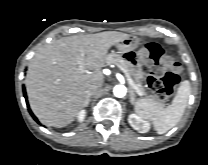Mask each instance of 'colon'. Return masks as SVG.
Instances as JSON below:
<instances>
[{"instance_id":"1","label":"colon","mask_w":208,"mask_h":165,"mask_svg":"<svg viewBox=\"0 0 208 165\" xmlns=\"http://www.w3.org/2000/svg\"><path fill=\"white\" fill-rule=\"evenodd\" d=\"M142 68L149 86L162 99L170 97L179 83L180 64L173 52H165L158 44L148 43L139 51Z\"/></svg>"}]
</instances>
